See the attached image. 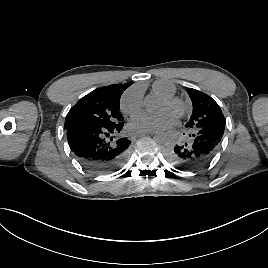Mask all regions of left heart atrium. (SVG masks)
<instances>
[{
  "mask_svg": "<svg viewBox=\"0 0 268 268\" xmlns=\"http://www.w3.org/2000/svg\"><path fill=\"white\" fill-rule=\"evenodd\" d=\"M156 121L165 126H172L176 124L177 117L175 113L165 111L156 119ZM150 125L151 118L143 114L133 116L130 122V127L134 130L146 129L150 127Z\"/></svg>",
  "mask_w": 268,
  "mask_h": 268,
  "instance_id": "left-heart-atrium-1",
  "label": "left heart atrium"
}]
</instances>
